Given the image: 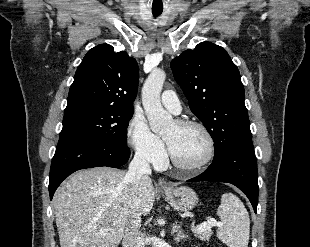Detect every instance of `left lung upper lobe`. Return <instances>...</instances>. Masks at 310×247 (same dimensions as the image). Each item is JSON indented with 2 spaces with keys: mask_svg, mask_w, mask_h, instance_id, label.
Segmentation results:
<instances>
[{
  "mask_svg": "<svg viewBox=\"0 0 310 247\" xmlns=\"http://www.w3.org/2000/svg\"><path fill=\"white\" fill-rule=\"evenodd\" d=\"M171 69L191 111L205 125L215 143L214 158L251 141L244 86L226 50L199 43L171 61Z\"/></svg>",
  "mask_w": 310,
  "mask_h": 247,
  "instance_id": "1",
  "label": "left lung upper lobe"
}]
</instances>
